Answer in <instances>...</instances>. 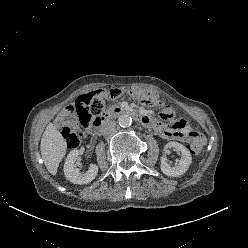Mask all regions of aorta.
Wrapping results in <instances>:
<instances>
[{
  "label": "aorta",
  "instance_id": "762f6f07",
  "mask_svg": "<svg viewBox=\"0 0 248 248\" xmlns=\"http://www.w3.org/2000/svg\"><path fill=\"white\" fill-rule=\"evenodd\" d=\"M118 122L121 127H129L132 123V118L128 114H122L118 117Z\"/></svg>",
  "mask_w": 248,
  "mask_h": 248
}]
</instances>
